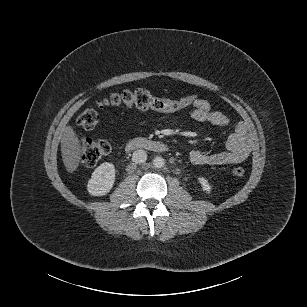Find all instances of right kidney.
<instances>
[{"label": "right kidney", "instance_id": "right-kidney-1", "mask_svg": "<svg viewBox=\"0 0 307 307\" xmlns=\"http://www.w3.org/2000/svg\"><path fill=\"white\" fill-rule=\"evenodd\" d=\"M115 181V167L105 162L97 167L88 181L87 190L93 196H103L113 187Z\"/></svg>", "mask_w": 307, "mask_h": 307}]
</instances>
